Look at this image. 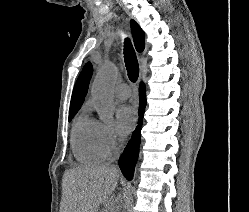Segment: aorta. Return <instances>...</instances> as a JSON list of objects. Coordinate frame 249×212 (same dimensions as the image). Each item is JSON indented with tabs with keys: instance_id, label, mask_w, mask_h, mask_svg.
<instances>
[{
	"instance_id": "aorta-1",
	"label": "aorta",
	"mask_w": 249,
	"mask_h": 212,
	"mask_svg": "<svg viewBox=\"0 0 249 212\" xmlns=\"http://www.w3.org/2000/svg\"><path fill=\"white\" fill-rule=\"evenodd\" d=\"M118 68L111 62L100 67L91 87L92 100L101 120H111L115 111L113 88L118 79Z\"/></svg>"
}]
</instances>
